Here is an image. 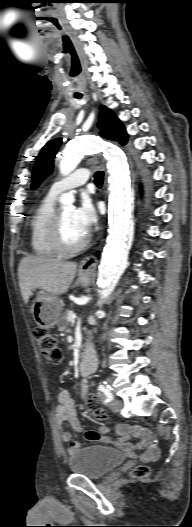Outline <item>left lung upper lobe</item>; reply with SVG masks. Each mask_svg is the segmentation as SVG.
<instances>
[{
    "mask_svg": "<svg viewBox=\"0 0 192 527\" xmlns=\"http://www.w3.org/2000/svg\"><path fill=\"white\" fill-rule=\"evenodd\" d=\"M99 128L101 136L120 142L125 145L128 139L127 133L123 124L119 121L117 116L105 106H100ZM61 138L54 139L47 143L41 150L36 159L33 171L32 188H37L38 184L45 178V175L51 173L53 167V158L60 144Z\"/></svg>",
    "mask_w": 192,
    "mask_h": 527,
    "instance_id": "left-lung-upper-lobe-1",
    "label": "left lung upper lobe"
}]
</instances>
